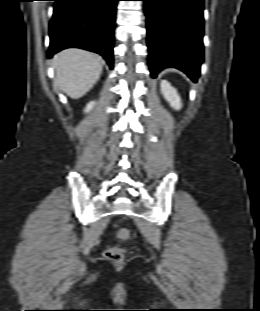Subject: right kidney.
Masks as SVG:
<instances>
[{
    "label": "right kidney",
    "instance_id": "1",
    "mask_svg": "<svg viewBox=\"0 0 260 311\" xmlns=\"http://www.w3.org/2000/svg\"><path fill=\"white\" fill-rule=\"evenodd\" d=\"M94 104H95V102H90L88 105H87V107H86V109H85V112H89L92 108H93V106H94Z\"/></svg>",
    "mask_w": 260,
    "mask_h": 311
}]
</instances>
